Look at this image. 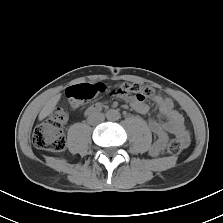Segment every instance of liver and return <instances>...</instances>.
<instances>
[{
	"label": "liver",
	"instance_id": "liver-1",
	"mask_svg": "<svg viewBox=\"0 0 223 223\" xmlns=\"http://www.w3.org/2000/svg\"><path fill=\"white\" fill-rule=\"evenodd\" d=\"M61 97V94H57L53 96L50 100L46 102L44 107L42 108L40 114H39V120H43L45 117H47L51 112L53 111L56 104L59 102Z\"/></svg>",
	"mask_w": 223,
	"mask_h": 223
}]
</instances>
